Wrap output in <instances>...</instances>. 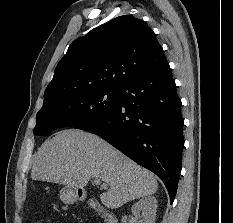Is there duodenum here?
Instances as JSON below:
<instances>
[{"instance_id":"410a0bca","label":"duodenum","mask_w":233,"mask_h":223,"mask_svg":"<svg viewBox=\"0 0 233 223\" xmlns=\"http://www.w3.org/2000/svg\"><path fill=\"white\" fill-rule=\"evenodd\" d=\"M79 197L82 199L84 195L80 193ZM87 204L90 209L103 219L104 223H118L116 216L105 210L96 199H88Z\"/></svg>"}]
</instances>
